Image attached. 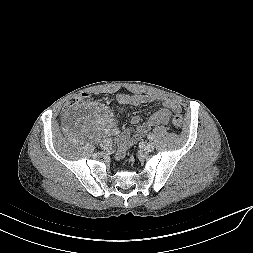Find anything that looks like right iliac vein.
Returning <instances> with one entry per match:
<instances>
[{
  "label": "right iliac vein",
  "mask_w": 253,
  "mask_h": 253,
  "mask_svg": "<svg viewBox=\"0 0 253 253\" xmlns=\"http://www.w3.org/2000/svg\"><path fill=\"white\" fill-rule=\"evenodd\" d=\"M100 145L103 149H108L112 146V143L109 139H105L100 143Z\"/></svg>",
  "instance_id": "right-iliac-vein-1"
}]
</instances>
